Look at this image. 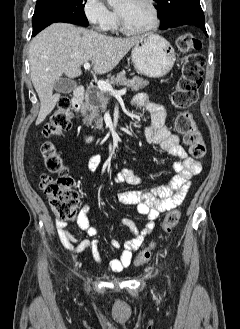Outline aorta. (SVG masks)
<instances>
[{"label":"aorta","instance_id":"aorta-1","mask_svg":"<svg viewBox=\"0 0 240 329\" xmlns=\"http://www.w3.org/2000/svg\"><path fill=\"white\" fill-rule=\"evenodd\" d=\"M123 0H107L108 4L111 6L118 5L122 2Z\"/></svg>","mask_w":240,"mask_h":329}]
</instances>
